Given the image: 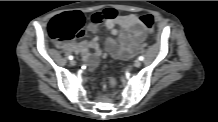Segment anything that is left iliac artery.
Masks as SVG:
<instances>
[{"instance_id":"left-iliac-artery-1","label":"left iliac artery","mask_w":218,"mask_h":122,"mask_svg":"<svg viewBox=\"0 0 218 122\" xmlns=\"http://www.w3.org/2000/svg\"><path fill=\"white\" fill-rule=\"evenodd\" d=\"M139 60H140V61H143V60H144V57H143V56H140V57H139Z\"/></svg>"}]
</instances>
